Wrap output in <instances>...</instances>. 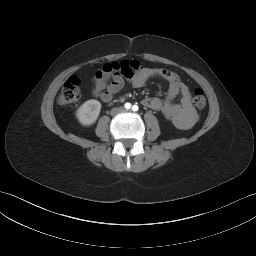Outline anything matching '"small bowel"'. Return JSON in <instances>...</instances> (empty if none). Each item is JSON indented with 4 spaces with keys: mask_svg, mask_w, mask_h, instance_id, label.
Masks as SVG:
<instances>
[{
    "mask_svg": "<svg viewBox=\"0 0 256 256\" xmlns=\"http://www.w3.org/2000/svg\"><path fill=\"white\" fill-rule=\"evenodd\" d=\"M153 77H162L168 82L165 99L147 97L142 100L143 106L161 112L176 128L189 129L197 120V114L193 110L191 92L189 87L181 81L174 71L165 68L143 67L131 77L121 75L114 76L111 81L96 82L92 94L103 102H110L128 81L134 88L145 86L146 82ZM180 95V103H173V99Z\"/></svg>",
    "mask_w": 256,
    "mask_h": 256,
    "instance_id": "c3829d8e",
    "label": "small bowel"
}]
</instances>
